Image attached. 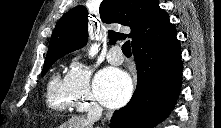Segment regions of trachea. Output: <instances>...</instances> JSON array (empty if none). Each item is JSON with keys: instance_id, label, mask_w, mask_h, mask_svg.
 Returning a JSON list of instances; mask_svg holds the SVG:
<instances>
[{"instance_id": "trachea-1", "label": "trachea", "mask_w": 221, "mask_h": 128, "mask_svg": "<svg viewBox=\"0 0 221 128\" xmlns=\"http://www.w3.org/2000/svg\"><path fill=\"white\" fill-rule=\"evenodd\" d=\"M122 52L125 56H131V47H130V41H126L122 45Z\"/></svg>"}]
</instances>
